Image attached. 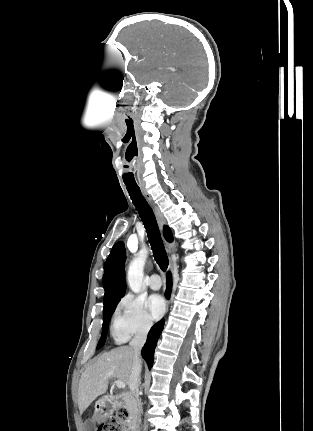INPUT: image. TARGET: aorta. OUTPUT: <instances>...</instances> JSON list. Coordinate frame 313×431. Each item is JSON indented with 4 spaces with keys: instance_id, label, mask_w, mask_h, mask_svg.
<instances>
[{
    "instance_id": "1",
    "label": "aorta",
    "mask_w": 313,
    "mask_h": 431,
    "mask_svg": "<svg viewBox=\"0 0 313 431\" xmlns=\"http://www.w3.org/2000/svg\"><path fill=\"white\" fill-rule=\"evenodd\" d=\"M147 250H141L129 265L127 281L134 293H139L143 285L144 266L147 259Z\"/></svg>"
}]
</instances>
